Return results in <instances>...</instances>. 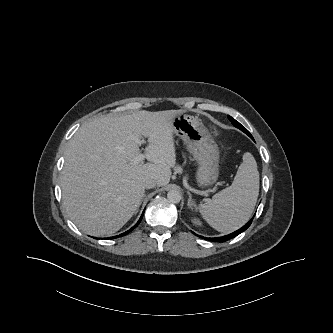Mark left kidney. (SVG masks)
Segmentation results:
<instances>
[{
	"instance_id": "5707ae66",
	"label": "left kidney",
	"mask_w": 333,
	"mask_h": 333,
	"mask_svg": "<svg viewBox=\"0 0 333 333\" xmlns=\"http://www.w3.org/2000/svg\"><path fill=\"white\" fill-rule=\"evenodd\" d=\"M191 221L196 226H201L202 225V222L198 218H192Z\"/></svg>"
}]
</instances>
